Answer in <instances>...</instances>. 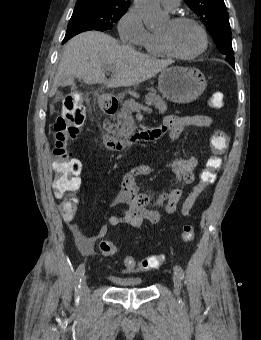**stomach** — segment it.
<instances>
[{"mask_svg":"<svg viewBox=\"0 0 261 340\" xmlns=\"http://www.w3.org/2000/svg\"><path fill=\"white\" fill-rule=\"evenodd\" d=\"M159 91L166 99L187 104L198 99L207 87L204 74L195 68L173 66L161 71Z\"/></svg>","mask_w":261,"mask_h":340,"instance_id":"0dacf381","label":"stomach"}]
</instances>
